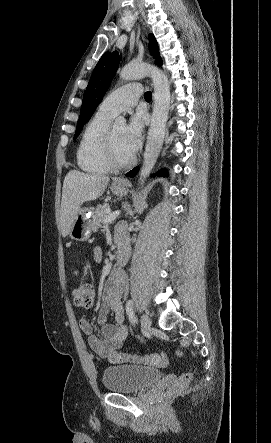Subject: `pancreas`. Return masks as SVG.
I'll return each instance as SVG.
<instances>
[{
  "mask_svg": "<svg viewBox=\"0 0 271 443\" xmlns=\"http://www.w3.org/2000/svg\"><path fill=\"white\" fill-rule=\"evenodd\" d=\"M108 208H109L108 204H103V206H98V208H96V210L94 212V216H92L93 231H97V227H99V225H101V222H103V220H105V218L107 216L106 210H108Z\"/></svg>",
  "mask_w": 271,
  "mask_h": 443,
  "instance_id": "obj_1",
  "label": "pancreas"
}]
</instances>
